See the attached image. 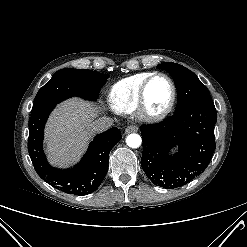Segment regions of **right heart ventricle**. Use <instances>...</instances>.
I'll return each instance as SVG.
<instances>
[{
    "label": "right heart ventricle",
    "instance_id": "obj_1",
    "mask_svg": "<svg viewBox=\"0 0 247 247\" xmlns=\"http://www.w3.org/2000/svg\"><path fill=\"white\" fill-rule=\"evenodd\" d=\"M152 74V72H141L117 81L111 87L108 96L111 108L121 114L133 112L137 107L140 88Z\"/></svg>",
    "mask_w": 247,
    "mask_h": 247
}]
</instances>
